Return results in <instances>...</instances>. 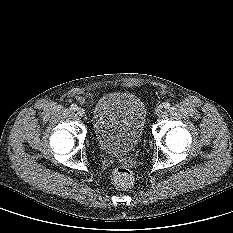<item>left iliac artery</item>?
Wrapping results in <instances>:
<instances>
[{"instance_id": "obj_1", "label": "left iliac artery", "mask_w": 233, "mask_h": 233, "mask_svg": "<svg viewBox=\"0 0 233 233\" xmlns=\"http://www.w3.org/2000/svg\"><path fill=\"white\" fill-rule=\"evenodd\" d=\"M163 107H164L165 109H169L170 104H169L168 102H166V103L163 104Z\"/></svg>"}]
</instances>
